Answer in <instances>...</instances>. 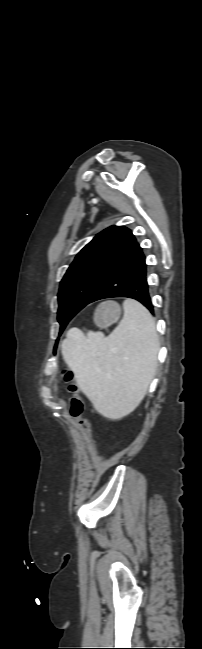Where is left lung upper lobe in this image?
<instances>
[{"label": "left lung upper lobe", "instance_id": "5c2ea615", "mask_svg": "<svg viewBox=\"0 0 202 649\" xmlns=\"http://www.w3.org/2000/svg\"><path fill=\"white\" fill-rule=\"evenodd\" d=\"M136 242L131 230L111 226L88 243L68 268L58 293L60 333L91 302L97 290Z\"/></svg>", "mask_w": 202, "mask_h": 649}]
</instances>
